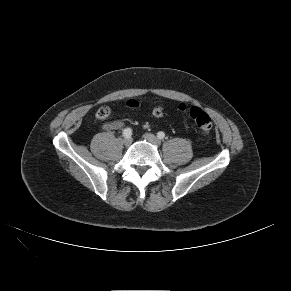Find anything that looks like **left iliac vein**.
I'll return each mask as SVG.
<instances>
[{"label":"left iliac vein","mask_w":291,"mask_h":291,"mask_svg":"<svg viewBox=\"0 0 291 291\" xmlns=\"http://www.w3.org/2000/svg\"><path fill=\"white\" fill-rule=\"evenodd\" d=\"M144 138L149 141L150 143L154 144L155 146H159L160 145V140L153 134L151 133H146L144 134Z\"/></svg>","instance_id":"obj_1"}]
</instances>
